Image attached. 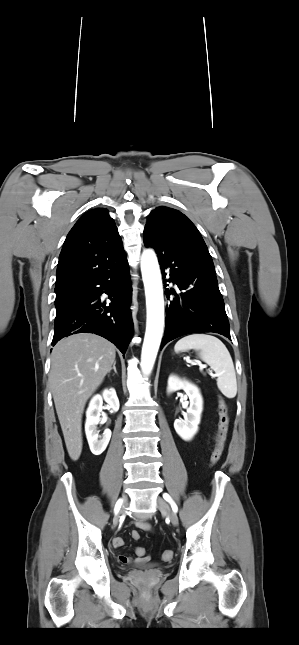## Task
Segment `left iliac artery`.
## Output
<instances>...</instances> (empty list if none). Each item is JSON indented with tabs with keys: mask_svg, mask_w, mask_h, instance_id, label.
<instances>
[{
	"mask_svg": "<svg viewBox=\"0 0 299 645\" xmlns=\"http://www.w3.org/2000/svg\"><path fill=\"white\" fill-rule=\"evenodd\" d=\"M163 497H164V499H165L167 502H169V503H170V505H171V507H172V510H173L174 512H177L178 507H177V505L175 504V502L172 500V498L170 497V495H169V494H167V493H165V494L163 495Z\"/></svg>",
	"mask_w": 299,
	"mask_h": 645,
	"instance_id": "44dca946",
	"label": "left iliac artery"
}]
</instances>
